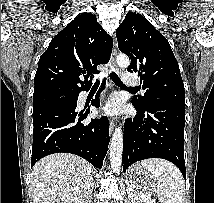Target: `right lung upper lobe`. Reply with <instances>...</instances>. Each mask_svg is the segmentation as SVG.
<instances>
[{"instance_id":"right-lung-upper-lobe-1","label":"right lung upper lobe","mask_w":214,"mask_h":203,"mask_svg":"<svg viewBox=\"0 0 214 203\" xmlns=\"http://www.w3.org/2000/svg\"><path fill=\"white\" fill-rule=\"evenodd\" d=\"M112 46V38L93 14L76 17L51 40L40 57L33 99L90 88L92 80L88 77L99 73L97 65L108 62Z\"/></svg>"}]
</instances>
